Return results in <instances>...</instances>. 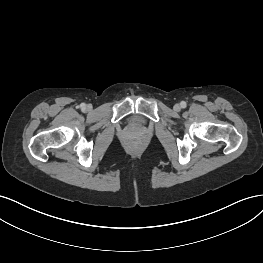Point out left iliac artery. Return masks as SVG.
Instances as JSON below:
<instances>
[{
    "mask_svg": "<svg viewBox=\"0 0 263 263\" xmlns=\"http://www.w3.org/2000/svg\"><path fill=\"white\" fill-rule=\"evenodd\" d=\"M180 105H181L182 108H185V107H186V102L182 101V102L180 103Z\"/></svg>",
    "mask_w": 263,
    "mask_h": 263,
    "instance_id": "obj_1",
    "label": "left iliac artery"
}]
</instances>
